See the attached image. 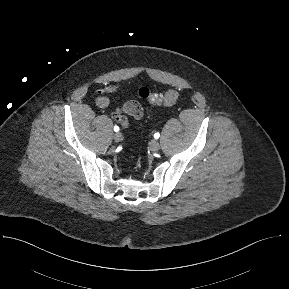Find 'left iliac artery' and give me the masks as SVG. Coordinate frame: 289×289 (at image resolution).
I'll use <instances>...</instances> for the list:
<instances>
[{"label": "left iliac artery", "instance_id": "1", "mask_svg": "<svg viewBox=\"0 0 289 289\" xmlns=\"http://www.w3.org/2000/svg\"><path fill=\"white\" fill-rule=\"evenodd\" d=\"M159 137H160V134L158 132L154 134L155 139H158Z\"/></svg>", "mask_w": 289, "mask_h": 289}]
</instances>
